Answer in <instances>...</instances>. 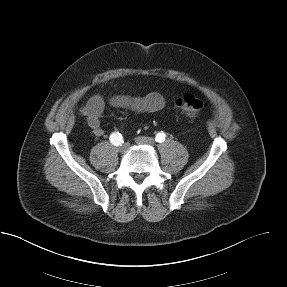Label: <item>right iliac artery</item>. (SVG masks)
Here are the masks:
<instances>
[{
  "label": "right iliac artery",
  "mask_w": 287,
  "mask_h": 287,
  "mask_svg": "<svg viewBox=\"0 0 287 287\" xmlns=\"http://www.w3.org/2000/svg\"><path fill=\"white\" fill-rule=\"evenodd\" d=\"M110 142L115 146L121 145L124 142L122 134H120L119 132H113L110 135Z\"/></svg>",
  "instance_id": "obj_1"
}]
</instances>
